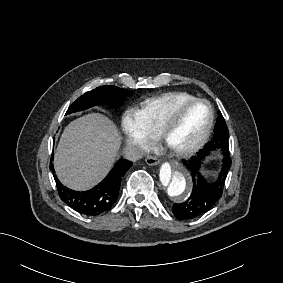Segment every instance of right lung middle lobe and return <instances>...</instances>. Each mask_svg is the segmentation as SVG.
Here are the masks:
<instances>
[{
	"label": "right lung middle lobe",
	"mask_w": 283,
	"mask_h": 283,
	"mask_svg": "<svg viewBox=\"0 0 283 283\" xmlns=\"http://www.w3.org/2000/svg\"><path fill=\"white\" fill-rule=\"evenodd\" d=\"M131 90L120 89L116 86H100L79 97L68 109L67 114L82 111L89 107L102 104L120 105L125 97L130 96Z\"/></svg>",
	"instance_id": "obj_1"
}]
</instances>
